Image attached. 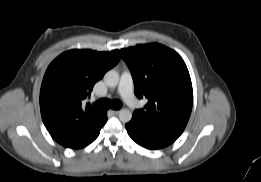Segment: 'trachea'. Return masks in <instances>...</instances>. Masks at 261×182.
<instances>
[{
	"instance_id": "trachea-1",
	"label": "trachea",
	"mask_w": 261,
	"mask_h": 182,
	"mask_svg": "<svg viewBox=\"0 0 261 182\" xmlns=\"http://www.w3.org/2000/svg\"><path fill=\"white\" fill-rule=\"evenodd\" d=\"M95 106L100 109H115L119 110L122 107V102L120 100L100 99L95 103Z\"/></svg>"
}]
</instances>
